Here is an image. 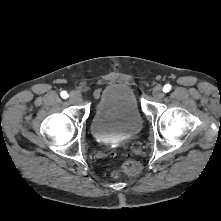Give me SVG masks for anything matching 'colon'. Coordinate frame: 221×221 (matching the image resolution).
I'll return each instance as SVG.
<instances>
[{
	"label": "colon",
	"mask_w": 221,
	"mask_h": 221,
	"mask_svg": "<svg viewBox=\"0 0 221 221\" xmlns=\"http://www.w3.org/2000/svg\"><path fill=\"white\" fill-rule=\"evenodd\" d=\"M120 171L129 176H136L140 173L141 166L136 160L131 158H126L120 166ZM117 175L118 173L114 174L115 177Z\"/></svg>",
	"instance_id": "obj_1"
}]
</instances>
